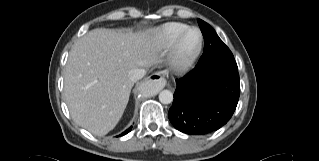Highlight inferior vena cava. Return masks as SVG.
<instances>
[{
    "instance_id": "602c4592",
    "label": "inferior vena cava",
    "mask_w": 319,
    "mask_h": 161,
    "mask_svg": "<svg viewBox=\"0 0 319 161\" xmlns=\"http://www.w3.org/2000/svg\"><path fill=\"white\" fill-rule=\"evenodd\" d=\"M145 73V70L142 68H134L129 71L128 75L131 81L136 82L137 80L141 79Z\"/></svg>"
}]
</instances>
